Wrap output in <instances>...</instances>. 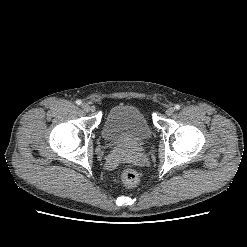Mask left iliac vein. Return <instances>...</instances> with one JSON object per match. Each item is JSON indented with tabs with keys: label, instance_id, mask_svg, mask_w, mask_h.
<instances>
[{
	"label": "left iliac vein",
	"instance_id": "obj_1",
	"mask_svg": "<svg viewBox=\"0 0 247 247\" xmlns=\"http://www.w3.org/2000/svg\"><path fill=\"white\" fill-rule=\"evenodd\" d=\"M174 111H175V109H174L173 107H170V108H168V109L166 110V114H167L168 116H171V115H173Z\"/></svg>",
	"mask_w": 247,
	"mask_h": 247
}]
</instances>
